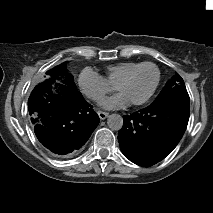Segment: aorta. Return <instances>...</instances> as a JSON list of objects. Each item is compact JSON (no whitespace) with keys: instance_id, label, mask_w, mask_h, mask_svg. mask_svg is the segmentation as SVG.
<instances>
[{"instance_id":"aorta-1","label":"aorta","mask_w":213,"mask_h":213,"mask_svg":"<svg viewBox=\"0 0 213 213\" xmlns=\"http://www.w3.org/2000/svg\"><path fill=\"white\" fill-rule=\"evenodd\" d=\"M107 125L113 131H119L123 127V118L121 115L113 113L107 118Z\"/></svg>"}]
</instances>
